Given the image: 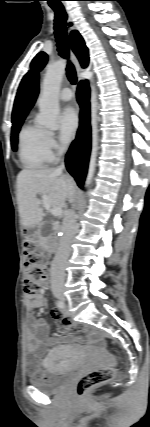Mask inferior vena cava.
Here are the masks:
<instances>
[{"label":"inferior vena cava","mask_w":150,"mask_h":427,"mask_svg":"<svg viewBox=\"0 0 150 427\" xmlns=\"http://www.w3.org/2000/svg\"><path fill=\"white\" fill-rule=\"evenodd\" d=\"M64 163L57 168L58 171L62 172L64 169ZM75 199L74 188L72 185L69 187L68 200L73 203ZM77 230L76 219L74 212H69L63 219L62 232L63 236L60 239L58 250L51 264L50 276L51 285L58 286L64 284L65 278V266L68 257L71 252V242L75 236Z\"/></svg>","instance_id":"inferior-vena-cava-1"}]
</instances>
